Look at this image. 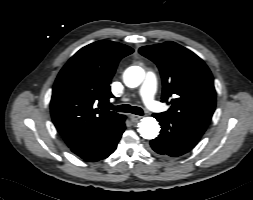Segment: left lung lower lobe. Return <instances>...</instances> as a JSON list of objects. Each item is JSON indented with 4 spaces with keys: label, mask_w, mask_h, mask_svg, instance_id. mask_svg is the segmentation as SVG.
<instances>
[{
    "label": "left lung lower lobe",
    "mask_w": 253,
    "mask_h": 200,
    "mask_svg": "<svg viewBox=\"0 0 253 200\" xmlns=\"http://www.w3.org/2000/svg\"><path fill=\"white\" fill-rule=\"evenodd\" d=\"M161 131L150 141L151 149L163 157H178L189 152L198 143L206 127L166 113L153 115Z\"/></svg>",
    "instance_id": "1"
}]
</instances>
